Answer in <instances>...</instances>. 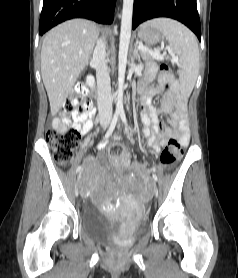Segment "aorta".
<instances>
[{"label":"aorta","mask_w":238,"mask_h":278,"mask_svg":"<svg viewBox=\"0 0 238 278\" xmlns=\"http://www.w3.org/2000/svg\"><path fill=\"white\" fill-rule=\"evenodd\" d=\"M134 0H123L121 31L119 42V55H118V92L116 113L123 112V91L125 71L127 64V53L131 37L132 29V14H133Z\"/></svg>","instance_id":"aorta-1"}]
</instances>
